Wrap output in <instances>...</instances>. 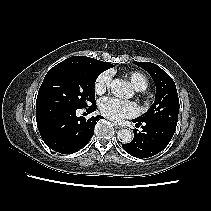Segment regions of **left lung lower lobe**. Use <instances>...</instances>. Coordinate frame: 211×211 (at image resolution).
<instances>
[{
    "label": "left lung lower lobe",
    "instance_id": "obj_1",
    "mask_svg": "<svg viewBox=\"0 0 211 211\" xmlns=\"http://www.w3.org/2000/svg\"><path fill=\"white\" fill-rule=\"evenodd\" d=\"M136 126L142 125V132H135L134 138L130 143L123 144V149L137 158H148L161 152L169 144L175 130L151 121L132 120Z\"/></svg>",
    "mask_w": 211,
    "mask_h": 211
}]
</instances>
